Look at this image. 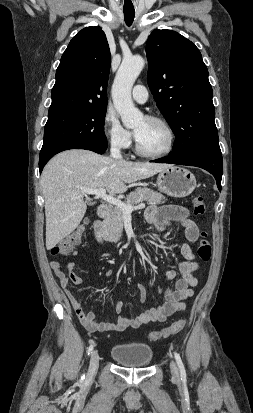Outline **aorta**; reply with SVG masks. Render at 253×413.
Returning a JSON list of instances; mask_svg holds the SVG:
<instances>
[{"label":"aorta","instance_id":"1","mask_svg":"<svg viewBox=\"0 0 253 413\" xmlns=\"http://www.w3.org/2000/svg\"><path fill=\"white\" fill-rule=\"evenodd\" d=\"M144 65L145 61L141 56L123 59L112 85L114 107L127 128L138 124L143 118L142 113L133 104L131 90Z\"/></svg>","mask_w":253,"mask_h":413}]
</instances>
